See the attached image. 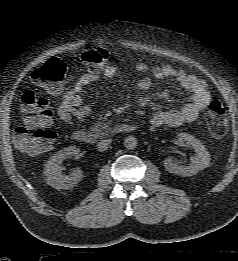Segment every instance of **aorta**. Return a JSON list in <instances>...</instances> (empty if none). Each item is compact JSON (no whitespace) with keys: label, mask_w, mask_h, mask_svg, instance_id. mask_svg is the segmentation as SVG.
Wrapping results in <instances>:
<instances>
[{"label":"aorta","mask_w":238,"mask_h":261,"mask_svg":"<svg viewBox=\"0 0 238 261\" xmlns=\"http://www.w3.org/2000/svg\"><path fill=\"white\" fill-rule=\"evenodd\" d=\"M137 142V139L130 135L124 139V147L128 150H133L136 148Z\"/></svg>","instance_id":"aorta-1"}]
</instances>
